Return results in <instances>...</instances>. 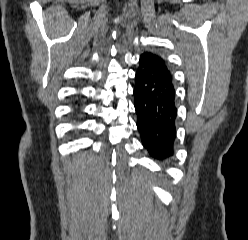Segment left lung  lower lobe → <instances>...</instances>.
<instances>
[{
  "label": "left lung lower lobe",
  "mask_w": 248,
  "mask_h": 240,
  "mask_svg": "<svg viewBox=\"0 0 248 240\" xmlns=\"http://www.w3.org/2000/svg\"><path fill=\"white\" fill-rule=\"evenodd\" d=\"M137 128L142 145L158 160L173 156L176 139V94L171 74L145 53L135 75Z\"/></svg>",
  "instance_id": "1"
}]
</instances>
